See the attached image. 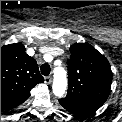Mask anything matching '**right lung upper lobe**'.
<instances>
[{"label": "right lung upper lobe", "mask_w": 122, "mask_h": 122, "mask_svg": "<svg viewBox=\"0 0 122 122\" xmlns=\"http://www.w3.org/2000/svg\"><path fill=\"white\" fill-rule=\"evenodd\" d=\"M25 51L20 43L1 47V110L19 106L36 84L44 82L36 60Z\"/></svg>", "instance_id": "1"}]
</instances>
